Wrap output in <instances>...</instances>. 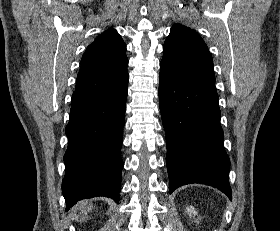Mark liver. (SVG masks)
<instances>
[{
    "label": "liver",
    "mask_w": 280,
    "mask_h": 231,
    "mask_svg": "<svg viewBox=\"0 0 280 231\" xmlns=\"http://www.w3.org/2000/svg\"><path fill=\"white\" fill-rule=\"evenodd\" d=\"M92 207V203L88 205V201H82L81 205H79L81 213H85V215H87L88 211H91Z\"/></svg>",
    "instance_id": "obj_1"
}]
</instances>
